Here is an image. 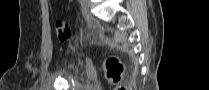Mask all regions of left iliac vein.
Here are the masks:
<instances>
[{
    "label": "left iliac vein",
    "mask_w": 209,
    "mask_h": 90,
    "mask_svg": "<svg viewBox=\"0 0 209 90\" xmlns=\"http://www.w3.org/2000/svg\"><path fill=\"white\" fill-rule=\"evenodd\" d=\"M89 9H90V1L89 0H82V13L84 16L89 15Z\"/></svg>",
    "instance_id": "obj_1"
}]
</instances>
